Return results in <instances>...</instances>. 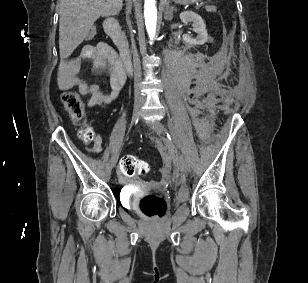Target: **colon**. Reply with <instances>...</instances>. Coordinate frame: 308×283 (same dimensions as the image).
Here are the masks:
<instances>
[{"mask_svg": "<svg viewBox=\"0 0 308 283\" xmlns=\"http://www.w3.org/2000/svg\"><path fill=\"white\" fill-rule=\"evenodd\" d=\"M96 35V29L92 28L88 33V38L92 39ZM61 101L70 114L75 125L79 127L78 136L84 141L93 139L95 132L87 125L83 102L80 96L74 91H65L61 95ZM122 173L127 177L144 175L149 171L148 164L140 158L127 155L122 158L120 163ZM141 208L147 215L157 214L162 216L165 210L163 199L156 195H149L142 199Z\"/></svg>", "mask_w": 308, "mask_h": 283, "instance_id": "obj_1", "label": "colon"}]
</instances>
